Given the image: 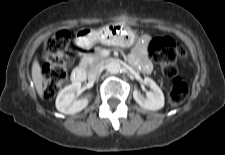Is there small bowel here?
Returning a JSON list of instances; mask_svg holds the SVG:
<instances>
[{
  "label": "small bowel",
  "instance_id": "obj_1",
  "mask_svg": "<svg viewBox=\"0 0 225 155\" xmlns=\"http://www.w3.org/2000/svg\"><path fill=\"white\" fill-rule=\"evenodd\" d=\"M148 38L145 37L140 40L133 48L129 60L143 73H150L153 69V65L147 56Z\"/></svg>",
  "mask_w": 225,
  "mask_h": 155
}]
</instances>
